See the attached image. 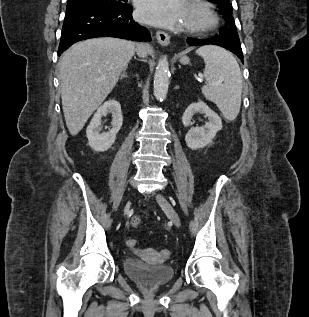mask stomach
<instances>
[{
	"instance_id": "stomach-1",
	"label": "stomach",
	"mask_w": 309,
	"mask_h": 317,
	"mask_svg": "<svg viewBox=\"0 0 309 317\" xmlns=\"http://www.w3.org/2000/svg\"><path fill=\"white\" fill-rule=\"evenodd\" d=\"M180 62H181L182 64H188V63H189V58L186 57V56H184V57H182V58L180 59Z\"/></svg>"
}]
</instances>
